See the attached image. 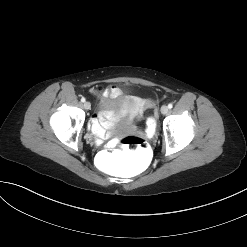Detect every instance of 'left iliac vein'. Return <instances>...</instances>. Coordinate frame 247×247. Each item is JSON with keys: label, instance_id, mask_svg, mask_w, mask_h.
<instances>
[{"label": "left iliac vein", "instance_id": "obj_1", "mask_svg": "<svg viewBox=\"0 0 247 247\" xmlns=\"http://www.w3.org/2000/svg\"><path fill=\"white\" fill-rule=\"evenodd\" d=\"M168 107L166 106V105H163L162 107H161V113L163 114V115H165V114H167L168 113Z\"/></svg>", "mask_w": 247, "mask_h": 247}]
</instances>
